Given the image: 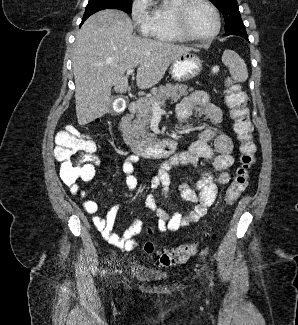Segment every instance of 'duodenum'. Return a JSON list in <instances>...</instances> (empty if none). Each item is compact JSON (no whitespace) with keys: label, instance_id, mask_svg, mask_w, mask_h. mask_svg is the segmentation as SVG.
<instances>
[{"label":"duodenum","instance_id":"duodenum-1","mask_svg":"<svg viewBox=\"0 0 298 325\" xmlns=\"http://www.w3.org/2000/svg\"><path fill=\"white\" fill-rule=\"evenodd\" d=\"M137 104L130 102L127 113L119 121V131L124 143L136 154L149 157L167 156L176 149V142L170 139L143 142L137 140L130 130L131 116L137 111Z\"/></svg>","mask_w":298,"mask_h":325}]
</instances>
